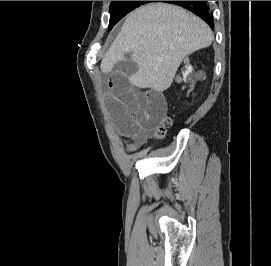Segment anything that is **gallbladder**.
Wrapping results in <instances>:
<instances>
[{
  "label": "gallbladder",
  "mask_w": 271,
  "mask_h": 266,
  "mask_svg": "<svg viewBox=\"0 0 271 266\" xmlns=\"http://www.w3.org/2000/svg\"><path fill=\"white\" fill-rule=\"evenodd\" d=\"M115 72L120 75H132L138 69V66L131 59V54H126L125 59L117 62L114 66Z\"/></svg>",
  "instance_id": "1"
}]
</instances>
